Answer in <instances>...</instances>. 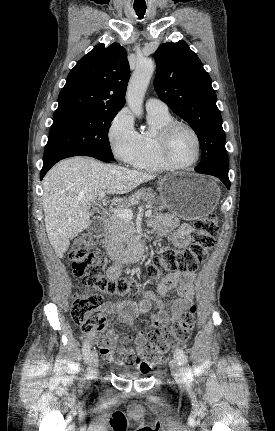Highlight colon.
<instances>
[{
	"label": "colon",
	"instance_id": "5ec220e1",
	"mask_svg": "<svg viewBox=\"0 0 275 431\" xmlns=\"http://www.w3.org/2000/svg\"><path fill=\"white\" fill-rule=\"evenodd\" d=\"M192 243L184 249L168 248L147 265V276L160 280L175 272H193L204 261L213 247L218 232L217 218L214 215L196 220ZM96 240L90 233H82L75 238L71 250L73 272L82 278L89 289L96 293L85 292L75 295L71 303V318L90 336L106 327L103 294L134 297L140 290L135 276L111 280L106 276L107 266L104 255L95 251ZM194 306H190L172 325L164 329H153L147 335L148 344L141 356L134 361L142 372L153 369L170 348L186 341L195 326Z\"/></svg>",
	"mask_w": 275,
	"mask_h": 431
}]
</instances>
